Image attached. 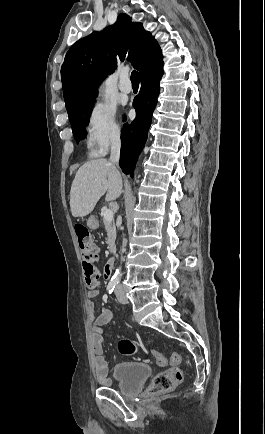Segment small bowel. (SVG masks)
I'll use <instances>...</instances> for the list:
<instances>
[{
  "label": "small bowel",
  "mask_w": 265,
  "mask_h": 434,
  "mask_svg": "<svg viewBox=\"0 0 265 434\" xmlns=\"http://www.w3.org/2000/svg\"><path fill=\"white\" fill-rule=\"evenodd\" d=\"M99 295V289L92 288L87 292L86 307L92 321L91 328V348L93 352V376L99 382L101 387H108L110 380L108 376V365L104 353V326L112 319L111 309L104 307L98 316L94 315V299ZM171 364L167 362L162 366Z\"/></svg>",
  "instance_id": "obj_1"
}]
</instances>
